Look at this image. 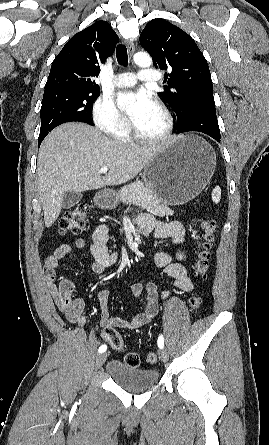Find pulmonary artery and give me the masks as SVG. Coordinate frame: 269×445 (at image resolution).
<instances>
[{
  "instance_id": "1",
  "label": "pulmonary artery",
  "mask_w": 269,
  "mask_h": 445,
  "mask_svg": "<svg viewBox=\"0 0 269 445\" xmlns=\"http://www.w3.org/2000/svg\"><path fill=\"white\" fill-rule=\"evenodd\" d=\"M138 79L143 82H155L161 79V75L153 69H142L138 76L129 72L118 74L114 82L119 87H130L133 86Z\"/></svg>"
}]
</instances>
